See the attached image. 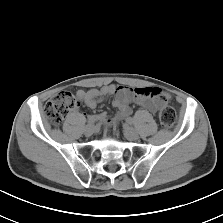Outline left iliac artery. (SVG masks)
Listing matches in <instances>:
<instances>
[{
  "label": "left iliac artery",
  "instance_id": "left-iliac-artery-1",
  "mask_svg": "<svg viewBox=\"0 0 223 223\" xmlns=\"http://www.w3.org/2000/svg\"><path fill=\"white\" fill-rule=\"evenodd\" d=\"M127 121L130 125H135L136 124L133 118H129Z\"/></svg>",
  "mask_w": 223,
  "mask_h": 223
}]
</instances>
